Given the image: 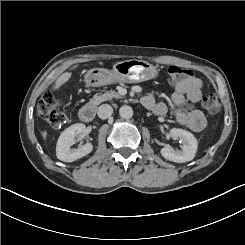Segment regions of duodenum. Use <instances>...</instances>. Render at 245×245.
<instances>
[{"mask_svg":"<svg viewBox=\"0 0 245 245\" xmlns=\"http://www.w3.org/2000/svg\"><path fill=\"white\" fill-rule=\"evenodd\" d=\"M79 117L84 122H90L95 117V107L91 104L84 105L79 111Z\"/></svg>","mask_w":245,"mask_h":245,"instance_id":"duodenum-1","label":"duodenum"}]
</instances>
